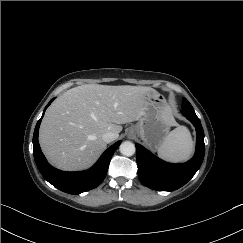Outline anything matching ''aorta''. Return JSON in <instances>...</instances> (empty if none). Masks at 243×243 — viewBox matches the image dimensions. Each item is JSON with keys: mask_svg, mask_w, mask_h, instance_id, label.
<instances>
[{"mask_svg": "<svg viewBox=\"0 0 243 243\" xmlns=\"http://www.w3.org/2000/svg\"><path fill=\"white\" fill-rule=\"evenodd\" d=\"M119 148L121 154L125 156H132L135 153V145L130 141L122 142Z\"/></svg>", "mask_w": 243, "mask_h": 243, "instance_id": "762f6f07", "label": "aorta"}]
</instances>
